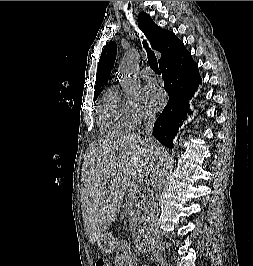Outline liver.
Returning <instances> with one entry per match:
<instances>
[{
    "label": "liver",
    "instance_id": "obj_1",
    "mask_svg": "<svg viewBox=\"0 0 253 266\" xmlns=\"http://www.w3.org/2000/svg\"><path fill=\"white\" fill-rule=\"evenodd\" d=\"M162 152L158 142L137 134L89 145L83 165L82 214L90 243L102 237L118 216L128 188L142 182Z\"/></svg>",
    "mask_w": 253,
    "mask_h": 266
}]
</instances>
